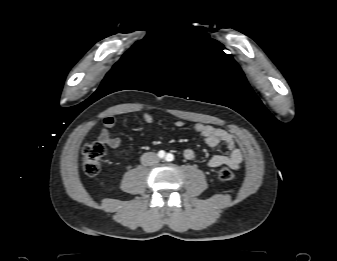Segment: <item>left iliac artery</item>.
I'll list each match as a JSON object with an SVG mask.
<instances>
[{
	"mask_svg": "<svg viewBox=\"0 0 337 261\" xmlns=\"http://www.w3.org/2000/svg\"><path fill=\"white\" fill-rule=\"evenodd\" d=\"M167 161H173L174 160V155L171 153H168L165 158Z\"/></svg>",
	"mask_w": 337,
	"mask_h": 261,
	"instance_id": "1",
	"label": "left iliac artery"
}]
</instances>
